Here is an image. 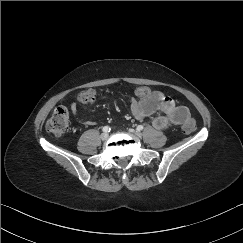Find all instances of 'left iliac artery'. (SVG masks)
I'll return each instance as SVG.
<instances>
[{
  "label": "left iliac artery",
  "instance_id": "44dca946",
  "mask_svg": "<svg viewBox=\"0 0 243 243\" xmlns=\"http://www.w3.org/2000/svg\"><path fill=\"white\" fill-rule=\"evenodd\" d=\"M143 128H144V127H143L142 125L137 126V130H138V131L143 130Z\"/></svg>",
  "mask_w": 243,
  "mask_h": 243
}]
</instances>
